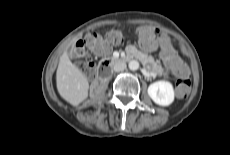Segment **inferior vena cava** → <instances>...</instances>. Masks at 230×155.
<instances>
[{
    "label": "inferior vena cava",
    "mask_w": 230,
    "mask_h": 155,
    "mask_svg": "<svg viewBox=\"0 0 230 155\" xmlns=\"http://www.w3.org/2000/svg\"><path fill=\"white\" fill-rule=\"evenodd\" d=\"M124 69H126V63L124 61H117L113 66V70L115 72H120L123 71Z\"/></svg>",
    "instance_id": "obj_1"
}]
</instances>
